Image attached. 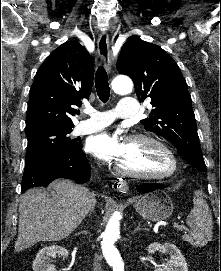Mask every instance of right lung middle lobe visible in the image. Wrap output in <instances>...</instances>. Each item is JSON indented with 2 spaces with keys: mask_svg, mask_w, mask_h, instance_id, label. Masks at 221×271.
I'll use <instances>...</instances> for the list:
<instances>
[{
  "mask_svg": "<svg viewBox=\"0 0 221 271\" xmlns=\"http://www.w3.org/2000/svg\"><path fill=\"white\" fill-rule=\"evenodd\" d=\"M74 126L46 125L26 131L28 150L26 161L47 154L67 153L79 143L67 136Z\"/></svg>",
  "mask_w": 221,
  "mask_h": 271,
  "instance_id": "right-lung-middle-lobe-1",
  "label": "right lung middle lobe"
}]
</instances>
